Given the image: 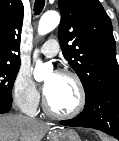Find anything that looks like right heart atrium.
Listing matches in <instances>:
<instances>
[{
  "label": "right heart atrium",
  "instance_id": "d8ad5b80",
  "mask_svg": "<svg viewBox=\"0 0 119 141\" xmlns=\"http://www.w3.org/2000/svg\"><path fill=\"white\" fill-rule=\"evenodd\" d=\"M13 98L15 103L27 113L38 106L39 93L29 73L25 70H20L14 80Z\"/></svg>",
  "mask_w": 119,
  "mask_h": 141
}]
</instances>
